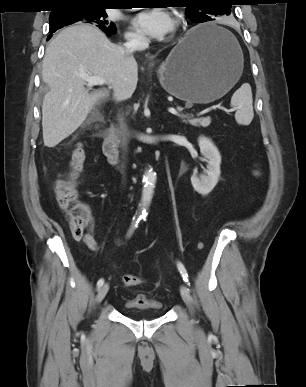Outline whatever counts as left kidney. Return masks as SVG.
<instances>
[{"label": "left kidney", "mask_w": 306, "mask_h": 387, "mask_svg": "<svg viewBox=\"0 0 306 387\" xmlns=\"http://www.w3.org/2000/svg\"><path fill=\"white\" fill-rule=\"evenodd\" d=\"M200 152L203 156V160L207 162V168L203 174L198 175V171L194 170L191 176V184L195 191L201 195L209 194L216 186L220 176V164L221 155L212 143V141L206 137H200L198 139Z\"/></svg>", "instance_id": "obj_1"}]
</instances>
